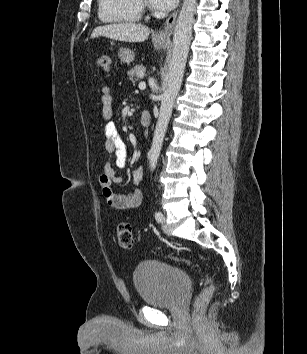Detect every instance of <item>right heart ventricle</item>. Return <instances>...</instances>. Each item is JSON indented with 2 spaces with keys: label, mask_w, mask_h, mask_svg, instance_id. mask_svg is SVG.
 <instances>
[{
  "label": "right heart ventricle",
  "mask_w": 307,
  "mask_h": 354,
  "mask_svg": "<svg viewBox=\"0 0 307 354\" xmlns=\"http://www.w3.org/2000/svg\"><path fill=\"white\" fill-rule=\"evenodd\" d=\"M99 18L106 23L139 21L141 10L136 0H98Z\"/></svg>",
  "instance_id": "e07e8e85"
}]
</instances>
